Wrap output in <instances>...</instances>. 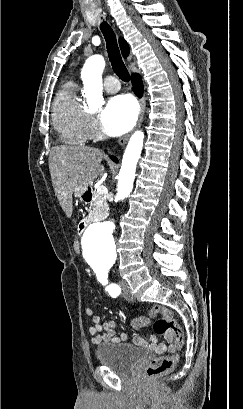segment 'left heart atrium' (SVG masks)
Instances as JSON below:
<instances>
[{
    "label": "left heart atrium",
    "instance_id": "obj_1",
    "mask_svg": "<svg viewBox=\"0 0 243 409\" xmlns=\"http://www.w3.org/2000/svg\"><path fill=\"white\" fill-rule=\"evenodd\" d=\"M137 113V105L129 95L110 98L100 114L103 131L110 136L126 133L134 126Z\"/></svg>",
    "mask_w": 243,
    "mask_h": 409
}]
</instances>
